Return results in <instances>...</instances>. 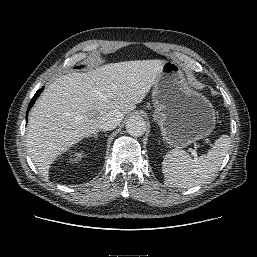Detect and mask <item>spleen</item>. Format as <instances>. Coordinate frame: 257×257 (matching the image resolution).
<instances>
[{
  "instance_id": "1",
  "label": "spleen",
  "mask_w": 257,
  "mask_h": 257,
  "mask_svg": "<svg viewBox=\"0 0 257 257\" xmlns=\"http://www.w3.org/2000/svg\"><path fill=\"white\" fill-rule=\"evenodd\" d=\"M230 146V137L221 135L214 146L197 159L184 150L173 149L162 162L164 184L169 187L190 188L209 180L221 166Z\"/></svg>"
}]
</instances>
